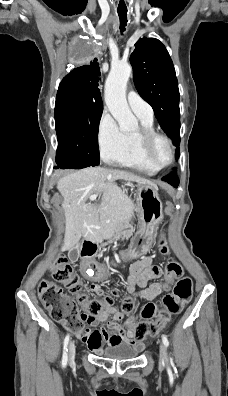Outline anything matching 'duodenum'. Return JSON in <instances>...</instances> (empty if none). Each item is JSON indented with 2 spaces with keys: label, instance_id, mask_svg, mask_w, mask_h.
Returning <instances> with one entry per match:
<instances>
[{
  "label": "duodenum",
  "instance_id": "1",
  "mask_svg": "<svg viewBox=\"0 0 228 396\" xmlns=\"http://www.w3.org/2000/svg\"><path fill=\"white\" fill-rule=\"evenodd\" d=\"M98 250V245L91 237L86 238L83 242L82 251L86 257L93 256Z\"/></svg>",
  "mask_w": 228,
  "mask_h": 396
}]
</instances>
